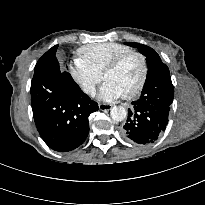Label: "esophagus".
I'll list each match as a JSON object with an SVG mask.
<instances>
[{
  "instance_id": "obj_1",
  "label": "esophagus",
  "mask_w": 205,
  "mask_h": 205,
  "mask_svg": "<svg viewBox=\"0 0 205 205\" xmlns=\"http://www.w3.org/2000/svg\"><path fill=\"white\" fill-rule=\"evenodd\" d=\"M98 106H99V109L102 111H109L112 108V105L105 104V103H100Z\"/></svg>"
}]
</instances>
